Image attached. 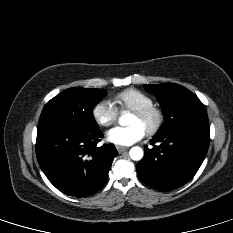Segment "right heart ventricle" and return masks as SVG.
I'll use <instances>...</instances> for the list:
<instances>
[{
    "mask_svg": "<svg viewBox=\"0 0 233 233\" xmlns=\"http://www.w3.org/2000/svg\"><path fill=\"white\" fill-rule=\"evenodd\" d=\"M114 102L121 110L131 111L153 105L151 96L135 88H129L119 92L115 96Z\"/></svg>",
    "mask_w": 233,
    "mask_h": 233,
    "instance_id": "right-heart-ventricle-1",
    "label": "right heart ventricle"
}]
</instances>
